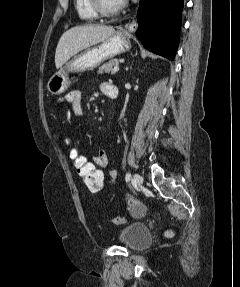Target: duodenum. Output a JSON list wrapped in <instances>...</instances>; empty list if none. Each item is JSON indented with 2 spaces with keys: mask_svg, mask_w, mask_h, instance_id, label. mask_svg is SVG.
I'll return each instance as SVG.
<instances>
[{
  "mask_svg": "<svg viewBox=\"0 0 240 287\" xmlns=\"http://www.w3.org/2000/svg\"><path fill=\"white\" fill-rule=\"evenodd\" d=\"M118 96V88L116 85H112L111 90L108 92L107 97L116 99Z\"/></svg>",
  "mask_w": 240,
  "mask_h": 287,
  "instance_id": "duodenum-1",
  "label": "duodenum"
}]
</instances>
